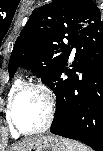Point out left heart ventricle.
<instances>
[{
    "label": "left heart ventricle",
    "instance_id": "left-heart-ventricle-1",
    "mask_svg": "<svg viewBox=\"0 0 103 151\" xmlns=\"http://www.w3.org/2000/svg\"><path fill=\"white\" fill-rule=\"evenodd\" d=\"M14 118L24 130L42 126L46 118V105L42 95L35 90L22 93L14 106Z\"/></svg>",
    "mask_w": 103,
    "mask_h": 151
}]
</instances>
